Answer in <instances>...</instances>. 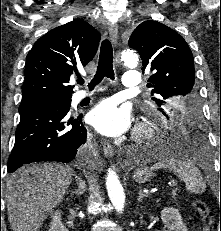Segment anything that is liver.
<instances>
[{"label": "liver", "instance_id": "liver-1", "mask_svg": "<svg viewBox=\"0 0 221 231\" xmlns=\"http://www.w3.org/2000/svg\"><path fill=\"white\" fill-rule=\"evenodd\" d=\"M73 171L58 163L23 166L4 185L13 231H39L47 214L62 202Z\"/></svg>", "mask_w": 221, "mask_h": 231}]
</instances>
